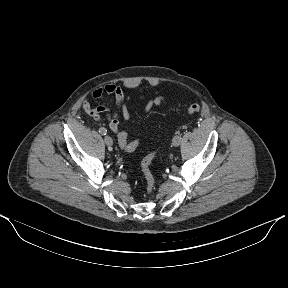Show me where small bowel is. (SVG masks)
<instances>
[{
  "label": "small bowel",
  "mask_w": 288,
  "mask_h": 288,
  "mask_svg": "<svg viewBox=\"0 0 288 288\" xmlns=\"http://www.w3.org/2000/svg\"><path fill=\"white\" fill-rule=\"evenodd\" d=\"M104 95H110L115 100L116 110L111 112L110 108L101 105L96 108H92L91 104L89 102V99L86 98L83 101V109L92 117L98 118L99 114L106 113L107 118L109 121V127L110 129L117 134L119 137L123 132H125L121 126L119 117L122 116V118L126 121H128L131 117L129 108L127 106L126 96L124 93V90L121 86L116 84H106L104 86H101L97 89H95L91 97L95 100H98L102 98ZM140 98H144V96H141ZM167 99L163 95H157L151 99H149L145 105L144 111L146 113L150 112L151 109L155 106H162L166 104Z\"/></svg>",
  "instance_id": "c3829d8e"
}]
</instances>
